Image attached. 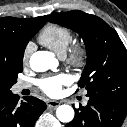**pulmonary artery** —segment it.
Instances as JSON below:
<instances>
[{
    "instance_id": "pulmonary-artery-1",
    "label": "pulmonary artery",
    "mask_w": 127,
    "mask_h": 127,
    "mask_svg": "<svg viewBox=\"0 0 127 127\" xmlns=\"http://www.w3.org/2000/svg\"><path fill=\"white\" fill-rule=\"evenodd\" d=\"M30 84L27 82H19L16 84V91H21L23 89L29 88Z\"/></svg>"
}]
</instances>
